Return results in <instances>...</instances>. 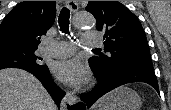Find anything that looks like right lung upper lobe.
Wrapping results in <instances>:
<instances>
[{
    "mask_svg": "<svg viewBox=\"0 0 171 110\" xmlns=\"http://www.w3.org/2000/svg\"><path fill=\"white\" fill-rule=\"evenodd\" d=\"M56 16L55 1H23L0 24V46L17 45L38 48Z\"/></svg>",
    "mask_w": 171,
    "mask_h": 110,
    "instance_id": "obj_1",
    "label": "right lung upper lobe"
}]
</instances>
